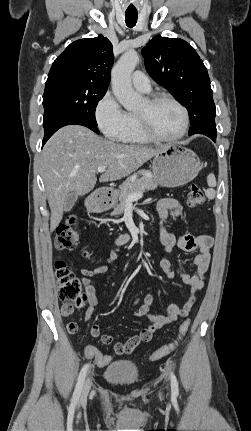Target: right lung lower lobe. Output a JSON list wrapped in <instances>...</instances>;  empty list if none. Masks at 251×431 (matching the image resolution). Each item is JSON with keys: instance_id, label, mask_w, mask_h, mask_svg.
I'll list each match as a JSON object with an SVG mask.
<instances>
[{"instance_id": "right-lung-lower-lobe-1", "label": "right lung lower lobe", "mask_w": 251, "mask_h": 431, "mask_svg": "<svg viewBox=\"0 0 251 431\" xmlns=\"http://www.w3.org/2000/svg\"><path fill=\"white\" fill-rule=\"evenodd\" d=\"M73 124L85 126L91 129L92 131H94L95 133H99L97 125L91 123L86 119H82L76 116H63L51 121L50 123L44 126V138H43L42 146L58 129L66 125H73Z\"/></svg>"}]
</instances>
